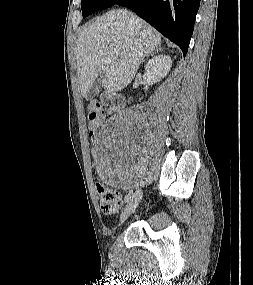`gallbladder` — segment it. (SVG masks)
Returning a JSON list of instances; mask_svg holds the SVG:
<instances>
[{
    "label": "gallbladder",
    "mask_w": 253,
    "mask_h": 285,
    "mask_svg": "<svg viewBox=\"0 0 253 285\" xmlns=\"http://www.w3.org/2000/svg\"><path fill=\"white\" fill-rule=\"evenodd\" d=\"M105 77V72H100L93 84V86L91 87L89 93H88V98H94L96 95H98L100 93V91L102 90V84H103V80Z\"/></svg>",
    "instance_id": "gallbladder-1"
}]
</instances>
